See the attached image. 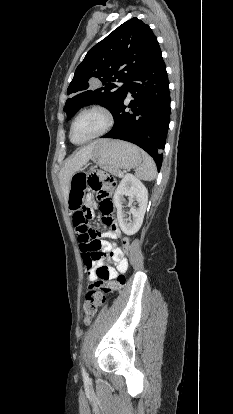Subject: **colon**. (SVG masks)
<instances>
[{
  "label": "colon",
  "instance_id": "1",
  "mask_svg": "<svg viewBox=\"0 0 233 414\" xmlns=\"http://www.w3.org/2000/svg\"><path fill=\"white\" fill-rule=\"evenodd\" d=\"M88 185L99 194L100 209L105 223L113 211L110 194L116 185V181L104 171H95L89 176ZM90 216L91 212L88 208L79 210L73 215V223L79 234L83 261L87 268H90L96 260L104 255L103 244L99 239L98 232L88 225ZM129 243V238L123 237L122 246L114 255L119 259H126ZM96 274L97 281L88 286L84 302V320L87 324L92 321L98 309L104 304L106 296L113 289L121 288L125 283V273L120 274L116 278V282H109L108 271L105 267L97 269Z\"/></svg>",
  "mask_w": 233,
  "mask_h": 414
}]
</instances>
